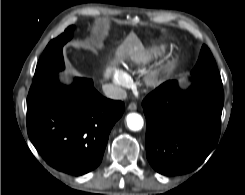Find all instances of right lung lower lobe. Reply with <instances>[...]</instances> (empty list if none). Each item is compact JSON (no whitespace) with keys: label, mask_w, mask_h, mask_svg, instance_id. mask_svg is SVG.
<instances>
[{"label":"right lung lower lobe","mask_w":245,"mask_h":195,"mask_svg":"<svg viewBox=\"0 0 245 195\" xmlns=\"http://www.w3.org/2000/svg\"><path fill=\"white\" fill-rule=\"evenodd\" d=\"M124 104L101 96L93 81L75 78L62 85L57 75L32 84L27 98V131L53 168L74 176L101 162L109 133Z\"/></svg>","instance_id":"98d812e1"}]
</instances>
